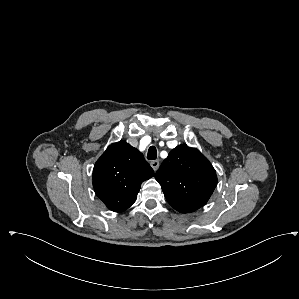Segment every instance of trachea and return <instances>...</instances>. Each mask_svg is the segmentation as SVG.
Masks as SVG:
<instances>
[{"instance_id":"3493384b","label":"trachea","mask_w":299,"mask_h":299,"mask_svg":"<svg viewBox=\"0 0 299 299\" xmlns=\"http://www.w3.org/2000/svg\"><path fill=\"white\" fill-rule=\"evenodd\" d=\"M157 158V150L154 146H151L148 149L147 159L148 160H155Z\"/></svg>"}]
</instances>
